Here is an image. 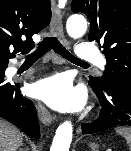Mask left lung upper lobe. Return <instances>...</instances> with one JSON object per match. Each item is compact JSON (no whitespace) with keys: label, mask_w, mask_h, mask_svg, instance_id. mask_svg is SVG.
<instances>
[{"label":"left lung upper lobe","mask_w":131,"mask_h":151,"mask_svg":"<svg viewBox=\"0 0 131 151\" xmlns=\"http://www.w3.org/2000/svg\"><path fill=\"white\" fill-rule=\"evenodd\" d=\"M72 11L88 17V39L107 60L103 76H90L89 83L131 93V0H73Z\"/></svg>","instance_id":"left-lung-upper-lobe-1"}]
</instances>
